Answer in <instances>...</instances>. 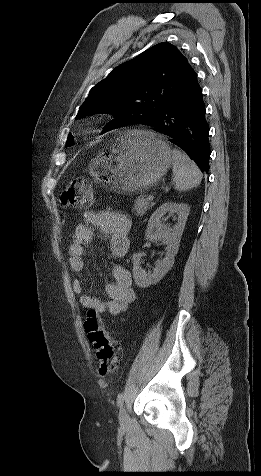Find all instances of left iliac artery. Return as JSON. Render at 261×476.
<instances>
[{
  "mask_svg": "<svg viewBox=\"0 0 261 476\" xmlns=\"http://www.w3.org/2000/svg\"><path fill=\"white\" fill-rule=\"evenodd\" d=\"M124 394L123 393H120L118 394V397H117V405L118 406H122L123 402H124Z\"/></svg>",
  "mask_w": 261,
  "mask_h": 476,
  "instance_id": "1",
  "label": "left iliac artery"
}]
</instances>
